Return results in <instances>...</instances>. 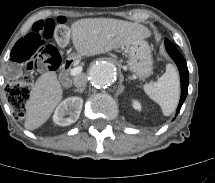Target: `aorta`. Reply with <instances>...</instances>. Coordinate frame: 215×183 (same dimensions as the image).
Wrapping results in <instances>:
<instances>
[{
	"label": "aorta",
	"instance_id": "1",
	"mask_svg": "<svg viewBox=\"0 0 215 183\" xmlns=\"http://www.w3.org/2000/svg\"><path fill=\"white\" fill-rule=\"evenodd\" d=\"M117 76L115 65L108 61H98L94 63L88 72L90 83L99 89H104L113 84Z\"/></svg>",
	"mask_w": 215,
	"mask_h": 183
}]
</instances>
